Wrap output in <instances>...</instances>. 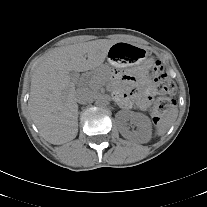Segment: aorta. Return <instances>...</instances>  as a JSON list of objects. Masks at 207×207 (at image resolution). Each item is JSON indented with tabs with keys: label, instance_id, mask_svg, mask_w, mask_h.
Wrapping results in <instances>:
<instances>
[{
	"label": "aorta",
	"instance_id": "aorta-1",
	"mask_svg": "<svg viewBox=\"0 0 207 207\" xmlns=\"http://www.w3.org/2000/svg\"><path fill=\"white\" fill-rule=\"evenodd\" d=\"M107 98L105 96H99L97 97L95 104L99 107H104L107 105Z\"/></svg>",
	"mask_w": 207,
	"mask_h": 207
}]
</instances>
